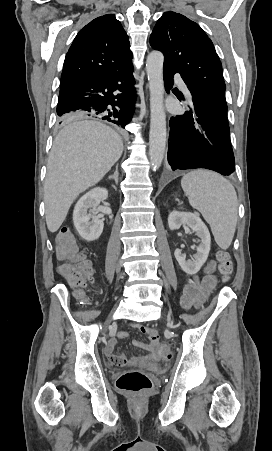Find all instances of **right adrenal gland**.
<instances>
[{
  "mask_svg": "<svg viewBox=\"0 0 272 451\" xmlns=\"http://www.w3.org/2000/svg\"><path fill=\"white\" fill-rule=\"evenodd\" d=\"M118 166V164H117ZM109 180H115V184H118V170L116 168V172H114L113 176H109Z\"/></svg>",
  "mask_w": 272,
  "mask_h": 451,
  "instance_id": "2a0ac1e0",
  "label": "right adrenal gland"
}]
</instances>
